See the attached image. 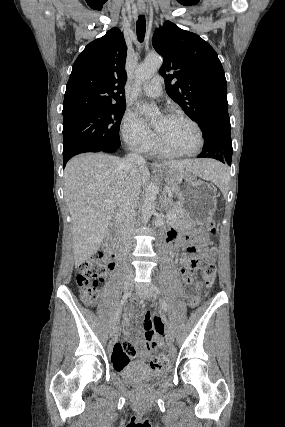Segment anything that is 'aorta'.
<instances>
[{"label": "aorta", "mask_w": 285, "mask_h": 427, "mask_svg": "<svg viewBox=\"0 0 285 427\" xmlns=\"http://www.w3.org/2000/svg\"><path fill=\"white\" fill-rule=\"evenodd\" d=\"M163 63V59L158 54H151L137 66L135 70V87L140 90V86L144 81L150 80L159 70ZM139 109L148 116H155L159 113L158 107L154 104L141 102L138 104ZM159 188L156 183L151 182L147 186L145 199L142 206V223L147 224L152 214L155 211L156 199Z\"/></svg>", "instance_id": "1"}]
</instances>
